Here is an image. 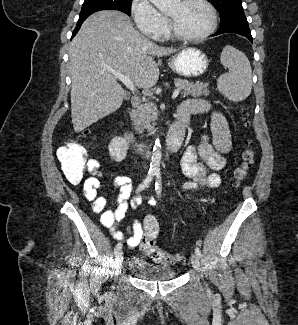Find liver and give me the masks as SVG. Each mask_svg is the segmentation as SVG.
<instances>
[{"instance_id": "obj_1", "label": "liver", "mask_w": 298, "mask_h": 325, "mask_svg": "<svg viewBox=\"0 0 298 325\" xmlns=\"http://www.w3.org/2000/svg\"><path fill=\"white\" fill-rule=\"evenodd\" d=\"M184 46H159L135 30L120 10H99L84 20L71 40V116L75 132L120 108L125 90L113 72L130 76L136 88L159 80L155 56H170Z\"/></svg>"}]
</instances>
